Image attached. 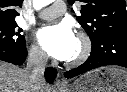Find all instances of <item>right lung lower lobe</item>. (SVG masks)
Here are the masks:
<instances>
[{"instance_id":"98d812e1","label":"right lung lower lobe","mask_w":127,"mask_h":92,"mask_svg":"<svg viewBox=\"0 0 127 92\" xmlns=\"http://www.w3.org/2000/svg\"><path fill=\"white\" fill-rule=\"evenodd\" d=\"M26 57V46L24 48H16L6 44H0V60L20 65L25 61ZM56 74L57 71L55 68L48 67L45 71V78L49 83H52Z\"/></svg>"}]
</instances>
